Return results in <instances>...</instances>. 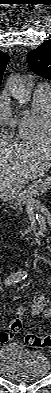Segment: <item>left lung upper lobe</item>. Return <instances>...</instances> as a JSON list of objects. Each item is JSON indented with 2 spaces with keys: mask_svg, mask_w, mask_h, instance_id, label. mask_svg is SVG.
I'll list each match as a JSON object with an SVG mask.
<instances>
[{
  "mask_svg": "<svg viewBox=\"0 0 51 393\" xmlns=\"http://www.w3.org/2000/svg\"><path fill=\"white\" fill-rule=\"evenodd\" d=\"M27 61L34 73L51 80V39L32 50L28 54Z\"/></svg>",
  "mask_w": 51,
  "mask_h": 393,
  "instance_id": "left-lung-upper-lobe-1",
  "label": "left lung upper lobe"
}]
</instances>
